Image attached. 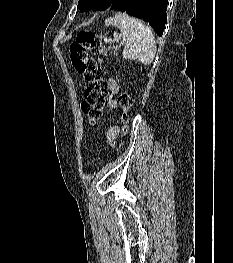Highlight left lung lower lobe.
Returning a JSON list of instances; mask_svg holds the SVG:
<instances>
[{
    "label": "left lung lower lobe",
    "mask_w": 233,
    "mask_h": 263,
    "mask_svg": "<svg viewBox=\"0 0 233 263\" xmlns=\"http://www.w3.org/2000/svg\"><path fill=\"white\" fill-rule=\"evenodd\" d=\"M167 4L168 0H115L109 8L145 20L161 36L167 21Z\"/></svg>",
    "instance_id": "left-lung-lower-lobe-1"
}]
</instances>
